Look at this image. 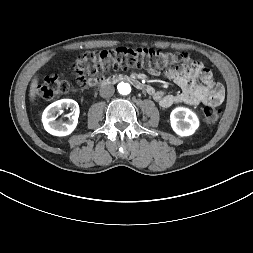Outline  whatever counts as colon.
<instances>
[{
	"mask_svg": "<svg viewBox=\"0 0 253 253\" xmlns=\"http://www.w3.org/2000/svg\"><path fill=\"white\" fill-rule=\"evenodd\" d=\"M185 53H174L152 49H131L120 47L110 50L90 51L79 55L71 64L79 86L100 85L104 74L110 69H128L131 67L159 66L178 64L185 61ZM73 86L66 80L54 75H47L37 86L39 97L45 100L54 99L72 90ZM205 121L214 125L220 118L219 109L213 104L203 108Z\"/></svg>",
	"mask_w": 253,
	"mask_h": 253,
	"instance_id": "colon-1",
	"label": "colon"
}]
</instances>
